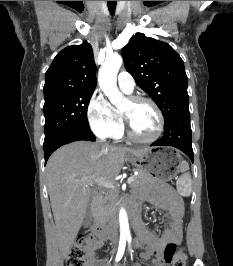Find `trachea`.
Segmentation results:
<instances>
[{"mask_svg":"<svg viewBox=\"0 0 233 266\" xmlns=\"http://www.w3.org/2000/svg\"><path fill=\"white\" fill-rule=\"evenodd\" d=\"M117 1H107L108 9L111 15H114Z\"/></svg>","mask_w":233,"mask_h":266,"instance_id":"trachea-1","label":"trachea"}]
</instances>
